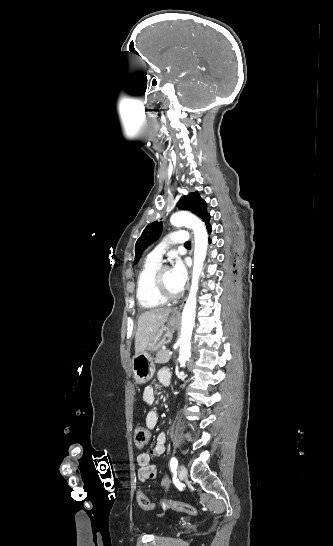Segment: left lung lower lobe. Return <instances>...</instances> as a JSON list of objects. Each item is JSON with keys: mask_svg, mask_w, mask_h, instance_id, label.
I'll return each instance as SVG.
<instances>
[{"mask_svg": "<svg viewBox=\"0 0 333 546\" xmlns=\"http://www.w3.org/2000/svg\"><path fill=\"white\" fill-rule=\"evenodd\" d=\"M210 217L205 221L206 229L210 233L211 232V225L209 223ZM209 242L211 243V240L209 239Z\"/></svg>", "mask_w": 333, "mask_h": 546, "instance_id": "1", "label": "left lung lower lobe"}]
</instances>
